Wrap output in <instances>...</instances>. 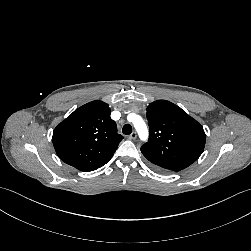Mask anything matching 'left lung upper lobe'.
Returning a JSON list of instances; mask_svg holds the SVG:
<instances>
[{"label":"left lung upper lobe","mask_w":251,"mask_h":251,"mask_svg":"<svg viewBox=\"0 0 251 251\" xmlns=\"http://www.w3.org/2000/svg\"><path fill=\"white\" fill-rule=\"evenodd\" d=\"M148 142L141 147L156 168L178 172L202 154L206 135L203 127L177 105L157 100L147 107Z\"/></svg>","instance_id":"left-lung-upper-lobe-1"}]
</instances>
